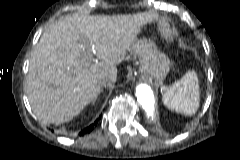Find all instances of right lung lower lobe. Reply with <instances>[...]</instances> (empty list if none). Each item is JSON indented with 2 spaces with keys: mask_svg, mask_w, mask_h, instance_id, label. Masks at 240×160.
I'll return each instance as SVG.
<instances>
[{
  "mask_svg": "<svg viewBox=\"0 0 240 160\" xmlns=\"http://www.w3.org/2000/svg\"><path fill=\"white\" fill-rule=\"evenodd\" d=\"M97 122H98V120H96V121L94 122V124H91L89 127H87V128H85L84 130H82V131L79 133V135H80V136H83V135L91 132L92 129L94 128V125H96Z\"/></svg>",
  "mask_w": 240,
  "mask_h": 160,
  "instance_id": "98d812e1",
  "label": "right lung lower lobe"
}]
</instances>
